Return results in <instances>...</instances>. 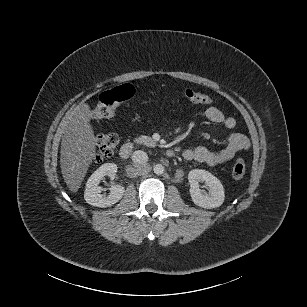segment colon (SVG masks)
I'll use <instances>...</instances> for the list:
<instances>
[{"mask_svg":"<svg viewBox=\"0 0 307 307\" xmlns=\"http://www.w3.org/2000/svg\"><path fill=\"white\" fill-rule=\"evenodd\" d=\"M135 94V89L130 84H122L110 88L102 92L99 96V101L96 108L91 113V118L95 122H100L104 119L110 118L118 108V106L130 100ZM183 98L193 104H212L213 100L210 96L196 92L193 90H186L183 93ZM119 143V137L116 133L101 134L96 139V154L97 161H103L110 157ZM246 163L242 158H238L232 169V177L235 180H240L245 176Z\"/></svg>","mask_w":307,"mask_h":307,"instance_id":"1","label":"colon"}]
</instances>
